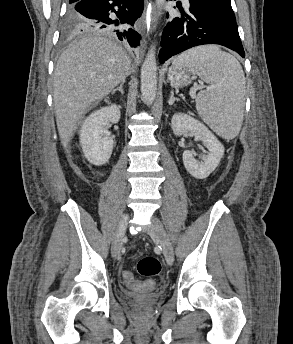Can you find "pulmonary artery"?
<instances>
[{"label":"pulmonary artery","mask_w":293,"mask_h":344,"mask_svg":"<svg viewBox=\"0 0 293 344\" xmlns=\"http://www.w3.org/2000/svg\"><path fill=\"white\" fill-rule=\"evenodd\" d=\"M185 3H188V0H183Z\"/></svg>","instance_id":"obj_1"}]
</instances>
